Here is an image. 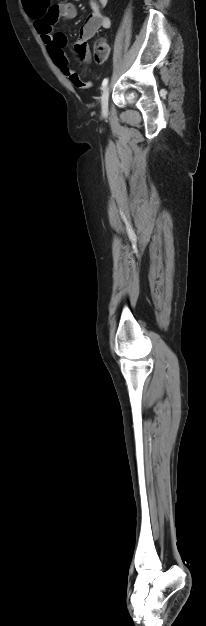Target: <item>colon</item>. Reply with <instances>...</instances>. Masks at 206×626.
<instances>
[{"instance_id":"colon-1","label":"colon","mask_w":206,"mask_h":626,"mask_svg":"<svg viewBox=\"0 0 206 626\" xmlns=\"http://www.w3.org/2000/svg\"><path fill=\"white\" fill-rule=\"evenodd\" d=\"M110 53V47L105 40H99L96 42L93 50L94 58L97 62H104L107 60Z\"/></svg>"}]
</instances>
